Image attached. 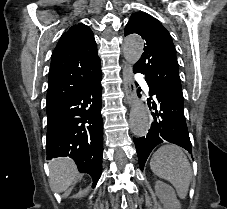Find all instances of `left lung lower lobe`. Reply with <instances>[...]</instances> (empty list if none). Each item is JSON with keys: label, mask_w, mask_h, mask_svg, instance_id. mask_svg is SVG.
I'll list each match as a JSON object with an SVG mask.
<instances>
[{"label": "left lung lower lobe", "mask_w": 227, "mask_h": 209, "mask_svg": "<svg viewBox=\"0 0 227 209\" xmlns=\"http://www.w3.org/2000/svg\"><path fill=\"white\" fill-rule=\"evenodd\" d=\"M149 93L155 100L152 102V107L156 110L155 113H152L153 123L145 137L133 138L141 170L144 169L151 151L166 141L192 153L183 111L184 102L153 89H149Z\"/></svg>", "instance_id": "left-lung-lower-lobe-1"}]
</instances>
